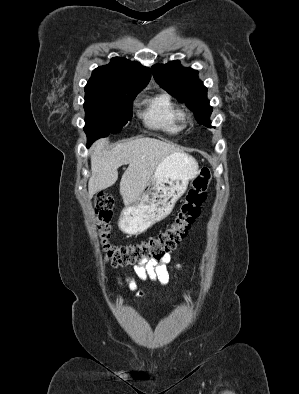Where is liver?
I'll return each mask as SVG.
<instances>
[{"mask_svg":"<svg viewBox=\"0 0 299 394\" xmlns=\"http://www.w3.org/2000/svg\"><path fill=\"white\" fill-rule=\"evenodd\" d=\"M106 142L101 139L92 147L89 195L112 186L118 179V168L128 164L120 181V194L125 205L137 202L159 163L180 150L172 143L150 137L120 143L111 150L104 149Z\"/></svg>","mask_w":299,"mask_h":394,"instance_id":"obj_1","label":"liver"}]
</instances>
